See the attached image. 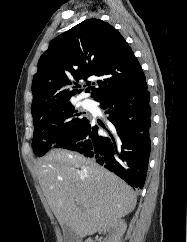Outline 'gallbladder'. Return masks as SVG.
Returning <instances> with one entry per match:
<instances>
[{
    "mask_svg": "<svg viewBox=\"0 0 187 242\" xmlns=\"http://www.w3.org/2000/svg\"><path fill=\"white\" fill-rule=\"evenodd\" d=\"M64 242H81V238L66 225L63 226Z\"/></svg>",
    "mask_w": 187,
    "mask_h": 242,
    "instance_id": "gallbladder-1",
    "label": "gallbladder"
}]
</instances>
